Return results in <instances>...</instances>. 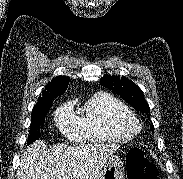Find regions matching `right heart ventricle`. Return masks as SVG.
<instances>
[{
    "label": "right heart ventricle",
    "mask_w": 183,
    "mask_h": 179,
    "mask_svg": "<svg viewBox=\"0 0 183 179\" xmlns=\"http://www.w3.org/2000/svg\"><path fill=\"white\" fill-rule=\"evenodd\" d=\"M128 113L129 108L120 99L107 92H97L83 106L79 117L81 133L90 142L130 140L134 134L121 125Z\"/></svg>",
    "instance_id": "right-heart-ventricle-1"
}]
</instances>
